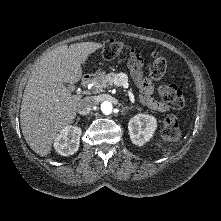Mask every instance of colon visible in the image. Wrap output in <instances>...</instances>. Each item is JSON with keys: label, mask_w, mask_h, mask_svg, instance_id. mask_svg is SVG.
<instances>
[{"label": "colon", "mask_w": 221, "mask_h": 221, "mask_svg": "<svg viewBox=\"0 0 221 221\" xmlns=\"http://www.w3.org/2000/svg\"><path fill=\"white\" fill-rule=\"evenodd\" d=\"M129 49V46L122 42L109 41L102 49V58L104 60H113L122 52ZM167 62L159 53L152 54V63L148 69L147 77L150 80H159L166 72ZM159 93L168 106L173 109H181L185 105L183 92L175 85H162ZM163 136L171 141H177L180 138V129L178 120L174 115H168L163 121Z\"/></svg>", "instance_id": "obj_1"}]
</instances>
